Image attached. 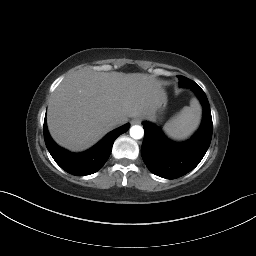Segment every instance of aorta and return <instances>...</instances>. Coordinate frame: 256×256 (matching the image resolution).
Listing matches in <instances>:
<instances>
[{
	"instance_id": "1",
	"label": "aorta",
	"mask_w": 256,
	"mask_h": 256,
	"mask_svg": "<svg viewBox=\"0 0 256 256\" xmlns=\"http://www.w3.org/2000/svg\"><path fill=\"white\" fill-rule=\"evenodd\" d=\"M130 136L133 139H141L144 136V129L140 125H134L130 128Z\"/></svg>"
}]
</instances>
